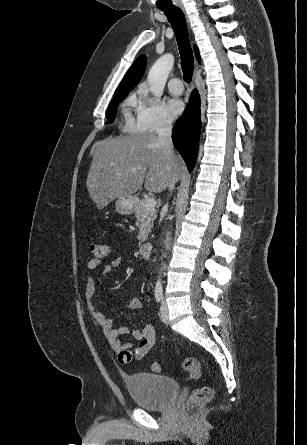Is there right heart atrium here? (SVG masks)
Segmentation results:
<instances>
[{"label": "right heart atrium", "instance_id": "obj_1", "mask_svg": "<svg viewBox=\"0 0 307 445\" xmlns=\"http://www.w3.org/2000/svg\"><path fill=\"white\" fill-rule=\"evenodd\" d=\"M140 108L137 111L139 127L150 134H161L173 125V117L163 103L154 99L145 87L137 92Z\"/></svg>", "mask_w": 307, "mask_h": 445}]
</instances>
